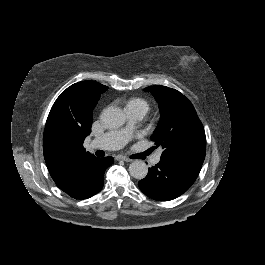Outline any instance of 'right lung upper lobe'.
<instances>
[{
  "label": "right lung upper lobe",
  "mask_w": 265,
  "mask_h": 265,
  "mask_svg": "<svg viewBox=\"0 0 265 265\" xmlns=\"http://www.w3.org/2000/svg\"><path fill=\"white\" fill-rule=\"evenodd\" d=\"M108 87L94 82L75 83L53 104L43 134V152L48 171L60 188L70 186L87 173L97 160L83 148L91 132L92 111Z\"/></svg>",
  "instance_id": "1"
}]
</instances>
